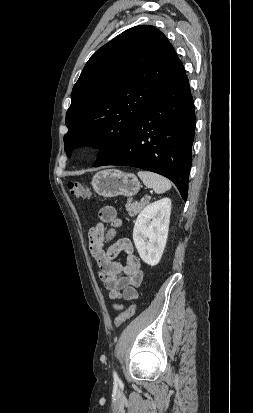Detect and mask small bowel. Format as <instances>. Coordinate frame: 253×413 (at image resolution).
I'll return each instance as SVG.
<instances>
[{
  "label": "small bowel",
  "instance_id": "1",
  "mask_svg": "<svg viewBox=\"0 0 253 413\" xmlns=\"http://www.w3.org/2000/svg\"><path fill=\"white\" fill-rule=\"evenodd\" d=\"M98 218V223L89 230L88 238L89 250L97 262L99 277L110 299L134 301L138 298L137 288L143 280V272L140 260L134 253L133 243L129 238H120L109 245L117 229L123 225L113 206L102 207ZM107 224L110 225L109 228H106ZM122 252L126 255L124 263L116 260ZM114 308L121 310L123 305L115 304Z\"/></svg>",
  "mask_w": 253,
  "mask_h": 413
}]
</instances>
